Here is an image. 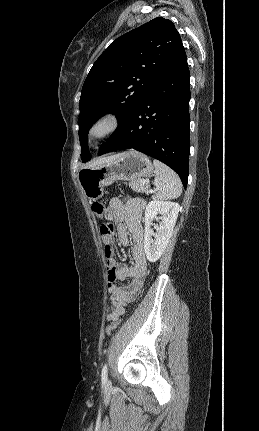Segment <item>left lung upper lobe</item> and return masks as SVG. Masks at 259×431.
Listing matches in <instances>:
<instances>
[{
    "label": "left lung upper lobe",
    "instance_id": "obj_1",
    "mask_svg": "<svg viewBox=\"0 0 259 431\" xmlns=\"http://www.w3.org/2000/svg\"><path fill=\"white\" fill-rule=\"evenodd\" d=\"M182 46L174 24L157 17L117 38L99 56L84 82L79 103L83 162L91 159L87 144L91 125L114 108L111 112L119 126L112 137Z\"/></svg>",
    "mask_w": 259,
    "mask_h": 431
}]
</instances>
